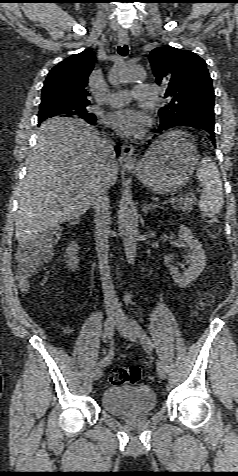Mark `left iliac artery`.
<instances>
[{"label": "left iliac artery", "mask_w": 238, "mask_h": 476, "mask_svg": "<svg viewBox=\"0 0 238 476\" xmlns=\"http://www.w3.org/2000/svg\"><path fill=\"white\" fill-rule=\"evenodd\" d=\"M131 323L134 327L135 334L140 339L143 347L148 349L154 348V344L152 343L146 332L143 330V328L135 320H132Z\"/></svg>", "instance_id": "left-iliac-artery-1"}]
</instances>
